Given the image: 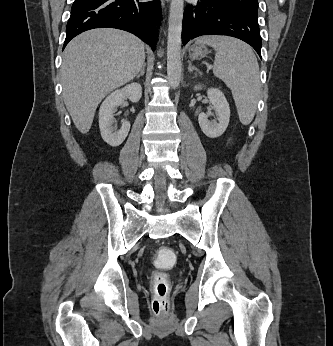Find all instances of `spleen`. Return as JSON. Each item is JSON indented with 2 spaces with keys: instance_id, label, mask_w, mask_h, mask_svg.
Masks as SVG:
<instances>
[{
  "instance_id": "1",
  "label": "spleen",
  "mask_w": 333,
  "mask_h": 346,
  "mask_svg": "<svg viewBox=\"0 0 333 346\" xmlns=\"http://www.w3.org/2000/svg\"><path fill=\"white\" fill-rule=\"evenodd\" d=\"M197 44H207L216 51L213 73L231 89L243 125L254 118L260 93L257 58L246 43L226 36H202Z\"/></svg>"
}]
</instances>
